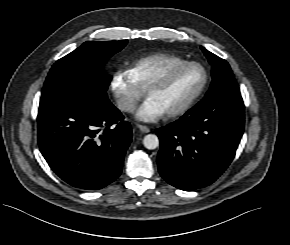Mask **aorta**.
Returning <instances> with one entry per match:
<instances>
[{
    "label": "aorta",
    "mask_w": 290,
    "mask_h": 245,
    "mask_svg": "<svg viewBox=\"0 0 290 245\" xmlns=\"http://www.w3.org/2000/svg\"><path fill=\"white\" fill-rule=\"evenodd\" d=\"M143 144L149 150L156 149L159 146V138L155 134H148L144 137Z\"/></svg>",
    "instance_id": "762f6f07"
}]
</instances>
